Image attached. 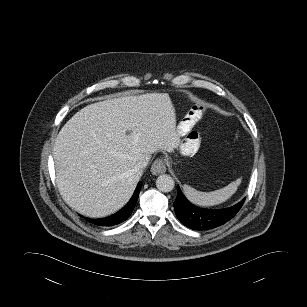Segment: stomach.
Masks as SVG:
<instances>
[{"label":"stomach","mask_w":307,"mask_h":307,"mask_svg":"<svg viewBox=\"0 0 307 307\" xmlns=\"http://www.w3.org/2000/svg\"><path fill=\"white\" fill-rule=\"evenodd\" d=\"M183 125V124H181ZM200 144L199 134L189 130V135L180 143V150L183 155H194Z\"/></svg>","instance_id":"0dacf381"}]
</instances>
